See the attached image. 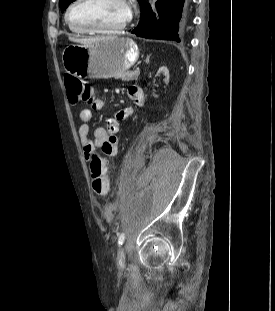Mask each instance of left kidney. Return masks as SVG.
<instances>
[{"label": "left kidney", "mask_w": 275, "mask_h": 311, "mask_svg": "<svg viewBox=\"0 0 275 311\" xmlns=\"http://www.w3.org/2000/svg\"><path fill=\"white\" fill-rule=\"evenodd\" d=\"M157 75L160 82H152V89H166L168 87L167 83L169 82V70L167 67L162 66L158 70Z\"/></svg>", "instance_id": "1"}]
</instances>
